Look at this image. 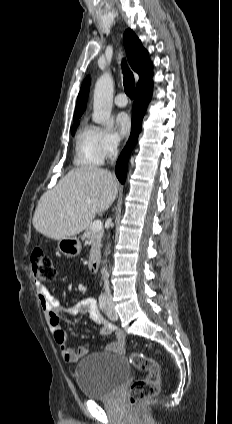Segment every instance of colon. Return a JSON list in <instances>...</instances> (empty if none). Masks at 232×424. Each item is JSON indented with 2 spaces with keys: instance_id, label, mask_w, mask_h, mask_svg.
<instances>
[{
  "instance_id": "obj_1",
  "label": "colon",
  "mask_w": 232,
  "mask_h": 424,
  "mask_svg": "<svg viewBox=\"0 0 232 424\" xmlns=\"http://www.w3.org/2000/svg\"><path fill=\"white\" fill-rule=\"evenodd\" d=\"M32 271L35 279L42 282H51L56 278L57 272L51 258L42 250H34L31 254ZM131 363L139 370L144 371L146 376L135 380L129 387L128 399L130 404L157 395L161 371L158 362L139 352L130 354Z\"/></svg>"
}]
</instances>
